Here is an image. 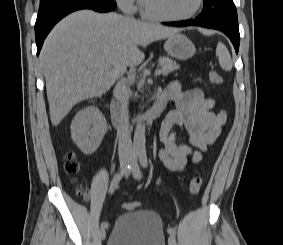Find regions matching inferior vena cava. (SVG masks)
Here are the masks:
<instances>
[{
	"label": "inferior vena cava",
	"instance_id": "inferior-vena-cava-1",
	"mask_svg": "<svg viewBox=\"0 0 283 245\" xmlns=\"http://www.w3.org/2000/svg\"><path fill=\"white\" fill-rule=\"evenodd\" d=\"M114 95L120 102V130H119V142L118 153L120 160L128 159L132 156L133 147L131 141V135L129 130V97L130 90L126 85L125 79H120L115 87Z\"/></svg>",
	"mask_w": 283,
	"mask_h": 245
}]
</instances>
